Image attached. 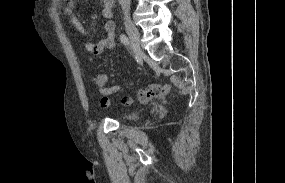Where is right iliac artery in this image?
<instances>
[{"mask_svg":"<svg viewBox=\"0 0 285 183\" xmlns=\"http://www.w3.org/2000/svg\"><path fill=\"white\" fill-rule=\"evenodd\" d=\"M120 41L123 43L125 46L129 45V39L126 35L122 34L120 35Z\"/></svg>","mask_w":285,"mask_h":183,"instance_id":"obj_1","label":"right iliac artery"}]
</instances>
